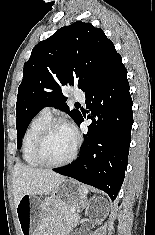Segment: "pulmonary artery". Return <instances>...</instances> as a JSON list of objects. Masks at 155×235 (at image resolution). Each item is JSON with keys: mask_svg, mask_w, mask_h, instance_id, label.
I'll use <instances>...</instances> for the list:
<instances>
[{"mask_svg": "<svg viewBox=\"0 0 155 235\" xmlns=\"http://www.w3.org/2000/svg\"><path fill=\"white\" fill-rule=\"evenodd\" d=\"M73 96L76 100L84 102L85 100V94L83 91L76 89L73 92ZM41 112H43L44 114H47L49 116H51V108L50 107H45Z\"/></svg>", "mask_w": 155, "mask_h": 235, "instance_id": "e3ab8cb5", "label": "pulmonary artery"}]
</instances>
